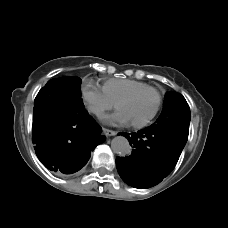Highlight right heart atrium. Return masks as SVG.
<instances>
[{"label": "right heart atrium", "instance_id": "1", "mask_svg": "<svg viewBox=\"0 0 228 228\" xmlns=\"http://www.w3.org/2000/svg\"><path fill=\"white\" fill-rule=\"evenodd\" d=\"M83 97L89 110L97 116H101L105 111L111 110L114 103L99 89L92 86H85Z\"/></svg>", "mask_w": 228, "mask_h": 228}]
</instances>
